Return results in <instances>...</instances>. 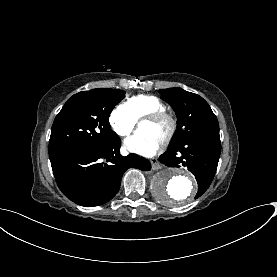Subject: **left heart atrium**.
I'll return each instance as SVG.
<instances>
[{"instance_id": "left-heart-atrium-1", "label": "left heart atrium", "mask_w": 277, "mask_h": 277, "mask_svg": "<svg viewBox=\"0 0 277 277\" xmlns=\"http://www.w3.org/2000/svg\"><path fill=\"white\" fill-rule=\"evenodd\" d=\"M161 145L162 142L159 138L143 130L124 141V146L128 150L146 156L154 154Z\"/></svg>"}]
</instances>
